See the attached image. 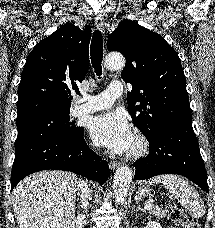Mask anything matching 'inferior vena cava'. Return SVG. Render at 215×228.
Instances as JSON below:
<instances>
[{
  "mask_svg": "<svg viewBox=\"0 0 215 228\" xmlns=\"http://www.w3.org/2000/svg\"><path fill=\"white\" fill-rule=\"evenodd\" d=\"M77 188H78L81 208H83V210L87 212V208L91 200V190L88 184H85V182H77Z\"/></svg>",
  "mask_w": 215,
  "mask_h": 228,
  "instance_id": "obj_1",
  "label": "inferior vena cava"
}]
</instances>
